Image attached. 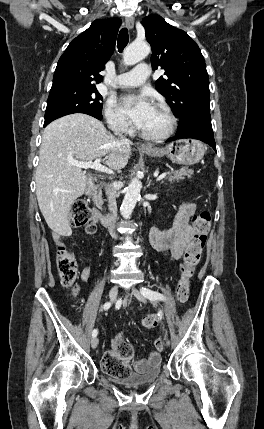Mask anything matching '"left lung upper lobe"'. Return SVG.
Segmentation results:
<instances>
[{
    "label": "left lung upper lobe",
    "mask_w": 264,
    "mask_h": 429,
    "mask_svg": "<svg viewBox=\"0 0 264 429\" xmlns=\"http://www.w3.org/2000/svg\"><path fill=\"white\" fill-rule=\"evenodd\" d=\"M141 23L152 47L153 69L165 70V77L156 81V89L179 118V129L186 128L196 116L210 114L209 78L203 55L186 32L162 17L150 15Z\"/></svg>",
    "instance_id": "obj_1"
}]
</instances>
